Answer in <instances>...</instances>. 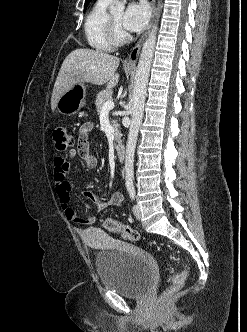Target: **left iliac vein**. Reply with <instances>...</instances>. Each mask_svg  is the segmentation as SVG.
Returning a JSON list of instances; mask_svg holds the SVG:
<instances>
[{
    "mask_svg": "<svg viewBox=\"0 0 247 332\" xmlns=\"http://www.w3.org/2000/svg\"><path fill=\"white\" fill-rule=\"evenodd\" d=\"M133 213H134L135 217H136L138 220L141 219V217H142V213H141V208H140V206H139L138 204H135V205L133 206Z\"/></svg>",
    "mask_w": 247,
    "mask_h": 332,
    "instance_id": "obj_1",
    "label": "left iliac vein"
}]
</instances>
